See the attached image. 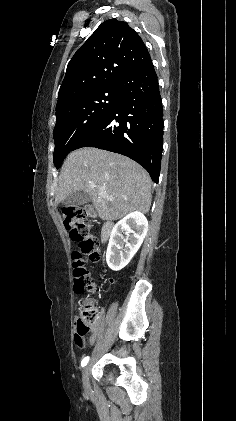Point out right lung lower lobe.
Segmentation results:
<instances>
[{
	"instance_id": "1",
	"label": "right lung lower lobe",
	"mask_w": 236,
	"mask_h": 421,
	"mask_svg": "<svg viewBox=\"0 0 236 421\" xmlns=\"http://www.w3.org/2000/svg\"><path fill=\"white\" fill-rule=\"evenodd\" d=\"M119 99L104 120L74 147H96L125 155L158 183L163 150V108L152 60L123 76Z\"/></svg>"
}]
</instances>
